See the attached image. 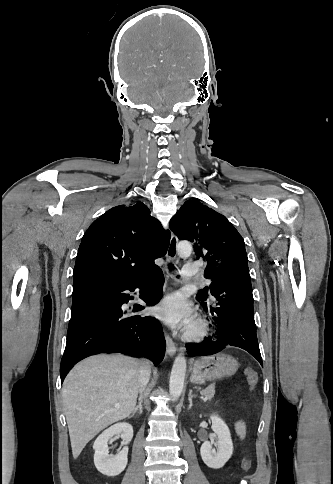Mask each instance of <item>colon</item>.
Here are the masks:
<instances>
[{"label": "colon", "mask_w": 333, "mask_h": 484, "mask_svg": "<svg viewBox=\"0 0 333 484\" xmlns=\"http://www.w3.org/2000/svg\"><path fill=\"white\" fill-rule=\"evenodd\" d=\"M246 379L249 385V388L252 390L256 387L258 382V374L252 368H247L245 370ZM251 466V461L249 457H245L242 462V470L247 471Z\"/></svg>", "instance_id": "obj_1"}]
</instances>
